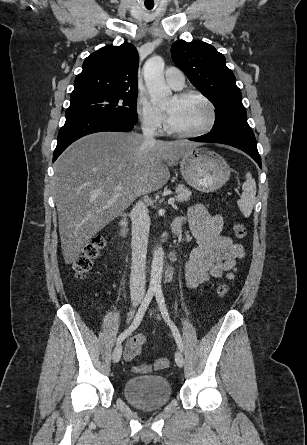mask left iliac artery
<instances>
[{
  "instance_id": "44dca946",
  "label": "left iliac artery",
  "mask_w": 307,
  "mask_h": 445,
  "mask_svg": "<svg viewBox=\"0 0 307 445\" xmlns=\"http://www.w3.org/2000/svg\"><path fill=\"white\" fill-rule=\"evenodd\" d=\"M155 296H156V300H157V303H158V306H159V309H160V312L162 314L164 321L169 325V327L173 333V336L175 338V341L178 345V348L181 351H183V344H182V339H181L180 333H179L176 325L173 323V321L169 317L162 290L156 289Z\"/></svg>"
}]
</instances>
